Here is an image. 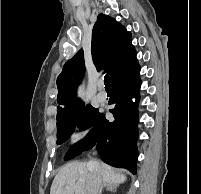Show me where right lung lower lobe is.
<instances>
[{"instance_id":"obj_1","label":"right lung lower lobe","mask_w":201,"mask_h":194,"mask_svg":"<svg viewBox=\"0 0 201 194\" xmlns=\"http://www.w3.org/2000/svg\"><path fill=\"white\" fill-rule=\"evenodd\" d=\"M139 73L140 66L136 61L129 70L111 82L113 96L109 104L115 105L110 110L114 120L109 121L100 113L87 138L73 145L69 151L76 150L78 155L96 145L105 163L136 173L138 114L133 112L137 109L139 100ZM132 97L136 98L135 102H132Z\"/></svg>"}]
</instances>
